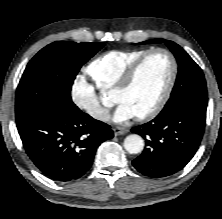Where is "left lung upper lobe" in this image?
<instances>
[{"mask_svg":"<svg viewBox=\"0 0 222 219\" xmlns=\"http://www.w3.org/2000/svg\"><path fill=\"white\" fill-rule=\"evenodd\" d=\"M164 41V39H152L141 42V44L162 43ZM166 45L175 55L179 68L175 86L165 107L184 100L207 106V87L201 68L178 44L167 41Z\"/></svg>","mask_w":222,"mask_h":219,"instance_id":"5c2ea615","label":"left lung upper lobe"}]
</instances>
